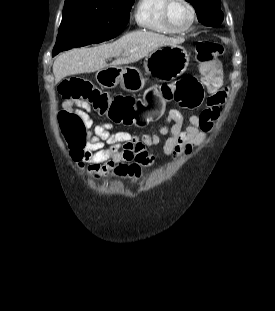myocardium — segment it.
Here are the masks:
<instances>
[{
  "instance_id": "1",
  "label": "myocardium",
  "mask_w": 275,
  "mask_h": 311,
  "mask_svg": "<svg viewBox=\"0 0 275 311\" xmlns=\"http://www.w3.org/2000/svg\"><path fill=\"white\" fill-rule=\"evenodd\" d=\"M182 1L188 6V8L190 9V12H191L190 22L184 28H178V27L174 26L170 20V17H169L170 7L175 2V0H166V3L163 7V12H162L163 20H164L165 24L167 25V27L169 29H171L174 33L188 32L194 26L196 19H197V12H196V8L194 7V5L189 0H182Z\"/></svg>"
}]
</instances>
